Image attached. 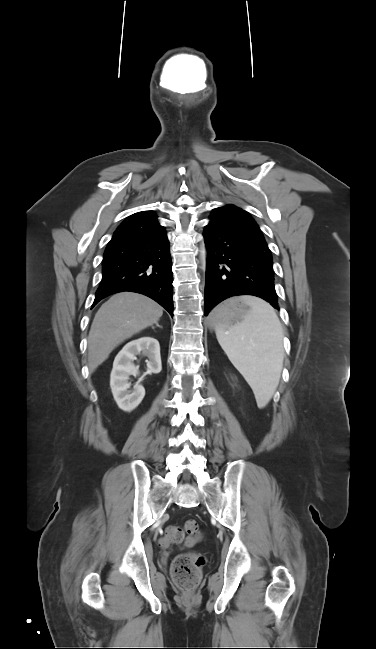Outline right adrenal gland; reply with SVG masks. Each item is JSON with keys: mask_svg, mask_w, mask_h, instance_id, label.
<instances>
[{"mask_svg": "<svg viewBox=\"0 0 376 649\" xmlns=\"http://www.w3.org/2000/svg\"><path fill=\"white\" fill-rule=\"evenodd\" d=\"M156 326L162 329V326H160L158 323H156ZM152 329H154V326H152Z\"/></svg>", "mask_w": 376, "mask_h": 649, "instance_id": "1", "label": "right adrenal gland"}]
</instances>
